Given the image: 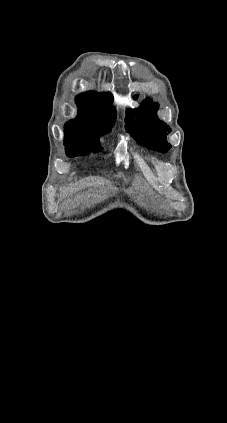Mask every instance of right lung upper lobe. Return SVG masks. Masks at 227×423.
<instances>
[{"label":"right lung upper lobe","mask_w":227,"mask_h":423,"mask_svg":"<svg viewBox=\"0 0 227 423\" xmlns=\"http://www.w3.org/2000/svg\"><path fill=\"white\" fill-rule=\"evenodd\" d=\"M112 102L110 93L79 95L76 98L79 113L65 125V142L98 141L103 132H110L116 119V111L110 106Z\"/></svg>","instance_id":"cb5924a9"}]
</instances>
